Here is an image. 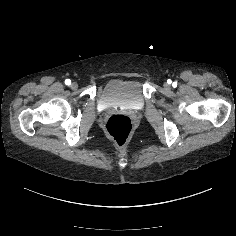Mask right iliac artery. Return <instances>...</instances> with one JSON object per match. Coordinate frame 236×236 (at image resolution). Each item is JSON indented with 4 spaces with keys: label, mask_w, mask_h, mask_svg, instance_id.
I'll list each match as a JSON object with an SVG mask.
<instances>
[{
    "label": "right iliac artery",
    "mask_w": 236,
    "mask_h": 236,
    "mask_svg": "<svg viewBox=\"0 0 236 236\" xmlns=\"http://www.w3.org/2000/svg\"><path fill=\"white\" fill-rule=\"evenodd\" d=\"M65 84L69 86L71 84V80L70 79H66L65 80Z\"/></svg>",
    "instance_id": "1"
}]
</instances>
